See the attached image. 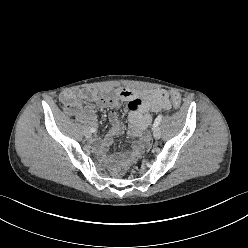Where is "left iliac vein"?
Here are the masks:
<instances>
[{
    "mask_svg": "<svg viewBox=\"0 0 248 248\" xmlns=\"http://www.w3.org/2000/svg\"><path fill=\"white\" fill-rule=\"evenodd\" d=\"M153 136L155 139H159L161 137V130L158 126L153 130Z\"/></svg>",
    "mask_w": 248,
    "mask_h": 248,
    "instance_id": "left-iliac-vein-1",
    "label": "left iliac vein"
}]
</instances>
